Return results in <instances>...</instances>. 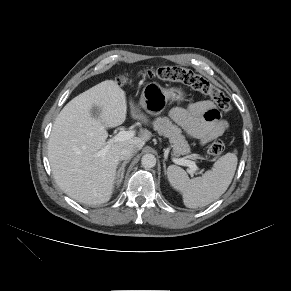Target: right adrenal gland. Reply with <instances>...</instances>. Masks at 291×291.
<instances>
[{"label": "right adrenal gland", "instance_id": "obj_1", "mask_svg": "<svg viewBox=\"0 0 291 291\" xmlns=\"http://www.w3.org/2000/svg\"><path fill=\"white\" fill-rule=\"evenodd\" d=\"M130 160H125L122 165L119 167V169L116 172V182L117 185H120L123 178H124V172H125V166L127 163H129Z\"/></svg>", "mask_w": 291, "mask_h": 291}]
</instances>
